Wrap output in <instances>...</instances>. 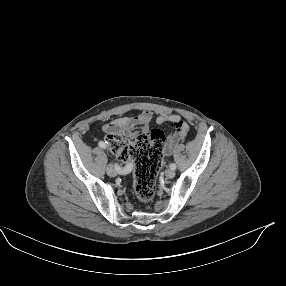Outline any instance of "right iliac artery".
Returning <instances> with one entry per match:
<instances>
[{
  "mask_svg": "<svg viewBox=\"0 0 286 286\" xmlns=\"http://www.w3.org/2000/svg\"><path fill=\"white\" fill-rule=\"evenodd\" d=\"M98 145H99L101 148H104V149L107 147L106 144H105L103 141H100V142L98 143ZM117 170L120 171V172H125V171H126V168L117 167Z\"/></svg>",
  "mask_w": 286,
  "mask_h": 286,
  "instance_id": "right-iliac-artery-1",
  "label": "right iliac artery"
}]
</instances>
